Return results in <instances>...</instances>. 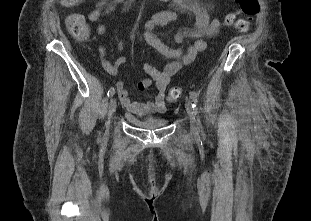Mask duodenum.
<instances>
[{
    "mask_svg": "<svg viewBox=\"0 0 311 221\" xmlns=\"http://www.w3.org/2000/svg\"><path fill=\"white\" fill-rule=\"evenodd\" d=\"M135 2V0H129L127 1V5H132Z\"/></svg>",
    "mask_w": 311,
    "mask_h": 221,
    "instance_id": "1",
    "label": "duodenum"
}]
</instances>
